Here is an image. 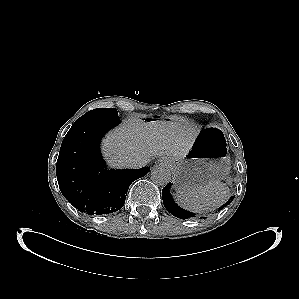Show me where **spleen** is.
<instances>
[{"instance_id":"3e777b00","label":"spleen","mask_w":299,"mask_h":299,"mask_svg":"<svg viewBox=\"0 0 299 299\" xmlns=\"http://www.w3.org/2000/svg\"><path fill=\"white\" fill-rule=\"evenodd\" d=\"M229 195L228 185L220 181L211 182L198 188L179 186L176 189L177 202L183 208L199 213L221 206L228 200Z\"/></svg>"}]
</instances>
